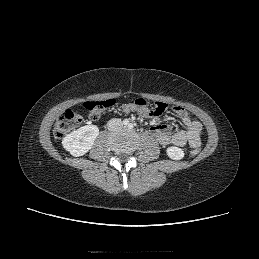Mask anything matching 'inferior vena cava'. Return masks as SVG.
<instances>
[{"mask_svg":"<svg viewBox=\"0 0 259 259\" xmlns=\"http://www.w3.org/2000/svg\"><path fill=\"white\" fill-rule=\"evenodd\" d=\"M122 126H123V123H122L121 119H117V118H113V119L109 120L107 123V128L110 131L120 129V128H122Z\"/></svg>","mask_w":259,"mask_h":259,"instance_id":"inferior-vena-cava-1","label":"inferior vena cava"}]
</instances>
